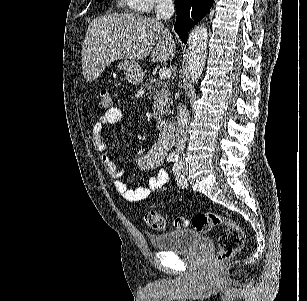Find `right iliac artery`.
I'll return each instance as SVG.
<instances>
[{
	"instance_id": "obj_1",
	"label": "right iliac artery",
	"mask_w": 307,
	"mask_h": 301,
	"mask_svg": "<svg viewBox=\"0 0 307 301\" xmlns=\"http://www.w3.org/2000/svg\"><path fill=\"white\" fill-rule=\"evenodd\" d=\"M167 161L168 162L178 161V156L175 154H169V156L167 157Z\"/></svg>"
}]
</instances>
